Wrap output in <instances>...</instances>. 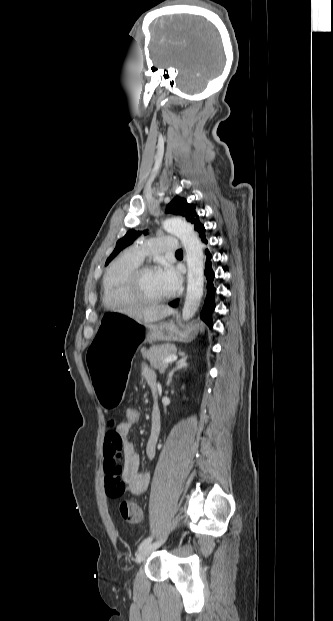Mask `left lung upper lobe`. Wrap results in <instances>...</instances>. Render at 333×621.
I'll list each match as a JSON object with an SVG mask.
<instances>
[{
    "label": "left lung upper lobe",
    "mask_w": 333,
    "mask_h": 621,
    "mask_svg": "<svg viewBox=\"0 0 333 621\" xmlns=\"http://www.w3.org/2000/svg\"><path fill=\"white\" fill-rule=\"evenodd\" d=\"M166 212L184 216L185 219L194 226L195 230L202 225L199 220V216L196 213V206L194 204L187 203L186 199L183 197L173 198V200L167 205ZM142 233L145 235L147 234L146 231L140 232L134 229L129 230L123 238L117 241L114 251L106 260V265L109 264L122 249L132 244L133 241H135Z\"/></svg>",
    "instance_id": "5c2ea615"
}]
</instances>
